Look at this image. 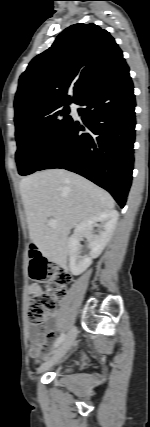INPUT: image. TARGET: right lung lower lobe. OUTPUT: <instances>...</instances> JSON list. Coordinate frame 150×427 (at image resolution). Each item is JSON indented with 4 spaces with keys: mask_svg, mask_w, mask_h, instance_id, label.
<instances>
[{
    "mask_svg": "<svg viewBox=\"0 0 150 427\" xmlns=\"http://www.w3.org/2000/svg\"><path fill=\"white\" fill-rule=\"evenodd\" d=\"M73 120L36 171L64 168L109 191L124 207L132 181L135 97L126 66L89 91Z\"/></svg>",
    "mask_w": 150,
    "mask_h": 427,
    "instance_id": "98d812e1",
    "label": "right lung lower lobe"
}]
</instances>
